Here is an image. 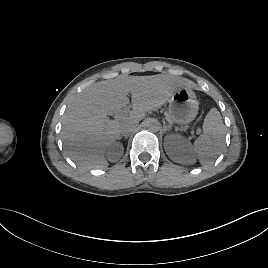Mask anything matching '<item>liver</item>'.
Masks as SVG:
<instances>
[{
	"mask_svg": "<svg viewBox=\"0 0 268 268\" xmlns=\"http://www.w3.org/2000/svg\"><path fill=\"white\" fill-rule=\"evenodd\" d=\"M186 84L180 78L158 74L120 75L89 85L73 98L63 115L61 137L69 157L83 168H106L105 150L119 139L121 124L139 123L146 112L159 109ZM129 93L133 110L110 119L109 114L129 104Z\"/></svg>",
	"mask_w": 268,
	"mask_h": 268,
	"instance_id": "obj_1",
	"label": "liver"
}]
</instances>
